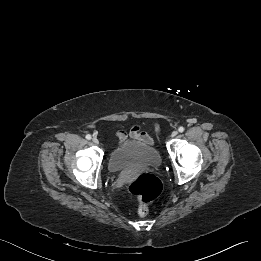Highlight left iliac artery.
Returning <instances> with one entry per match:
<instances>
[{"mask_svg":"<svg viewBox=\"0 0 261 261\" xmlns=\"http://www.w3.org/2000/svg\"><path fill=\"white\" fill-rule=\"evenodd\" d=\"M184 130H185V129H184V127H182V126L178 128V131L181 132V133L184 132Z\"/></svg>","mask_w":261,"mask_h":261,"instance_id":"left-iliac-artery-1","label":"left iliac artery"}]
</instances>
